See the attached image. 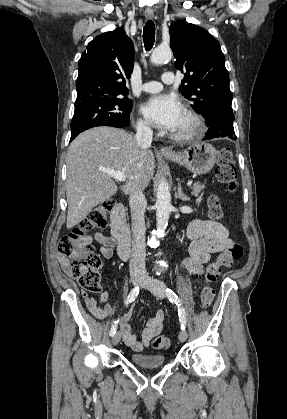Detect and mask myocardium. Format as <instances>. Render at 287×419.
<instances>
[{
  "label": "myocardium",
  "instance_id": "1",
  "mask_svg": "<svg viewBox=\"0 0 287 419\" xmlns=\"http://www.w3.org/2000/svg\"><path fill=\"white\" fill-rule=\"evenodd\" d=\"M184 115L189 122V127L181 132L172 133L171 137L177 141H188L203 135L205 123L202 117L190 109H186Z\"/></svg>",
  "mask_w": 287,
  "mask_h": 419
}]
</instances>
